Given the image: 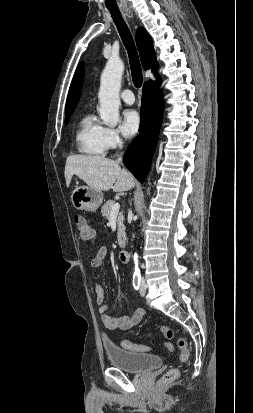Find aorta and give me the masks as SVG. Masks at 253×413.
<instances>
[{
	"label": "aorta",
	"mask_w": 253,
	"mask_h": 413,
	"mask_svg": "<svg viewBox=\"0 0 253 413\" xmlns=\"http://www.w3.org/2000/svg\"><path fill=\"white\" fill-rule=\"evenodd\" d=\"M124 71V63L119 58L108 60L100 79V89L98 98L100 102L99 113L105 125L115 127L120 121L119 92L121 88V78ZM135 269H138V255L133 256Z\"/></svg>",
	"instance_id": "1"
}]
</instances>
